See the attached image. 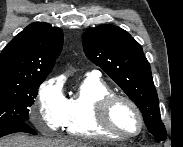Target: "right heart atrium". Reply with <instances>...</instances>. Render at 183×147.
I'll return each mask as SVG.
<instances>
[{"label":"right heart atrium","mask_w":183,"mask_h":147,"mask_svg":"<svg viewBox=\"0 0 183 147\" xmlns=\"http://www.w3.org/2000/svg\"><path fill=\"white\" fill-rule=\"evenodd\" d=\"M65 107L66 97L62 81L57 77L44 81L37 94L35 121H40L46 127L57 130L63 127Z\"/></svg>","instance_id":"d8ad5b80"}]
</instances>
